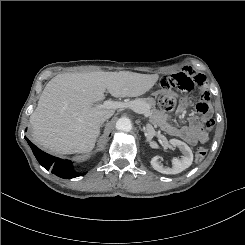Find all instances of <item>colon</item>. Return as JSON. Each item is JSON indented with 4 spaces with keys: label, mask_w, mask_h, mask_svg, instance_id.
I'll return each mask as SVG.
<instances>
[{
    "label": "colon",
    "mask_w": 245,
    "mask_h": 245,
    "mask_svg": "<svg viewBox=\"0 0 245 245\" xmlns=\"http://www.w3.org/2000/svg\"><path fill=\"white\" fill-rule=\"evenodd\" d=\"M191 90H188V91H191ZM159 105L163 110L171 111L176 107L177 99L172 93L165 91L159 96ZM213 125H214V122L212 119H206L204 122V128L206 130H210L213 127ZM206 154H207L206 149H204L202 147L197 148L195 151L196 162L199 163V162L203 161L204 158L206 157Z\"/></svg>",
    "instance_id": "colon-1"
}]
</instances>
